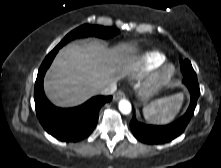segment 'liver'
Instances as JSON below:
<instances>
[{"instance_id":"6515ba94","label":"liver","mask_w":221,"mask_h":168,"mask_svg":"<svg viewBox=\"0 0 221 168\" xmlns=\"http://www.w3.org/2000/svg\"><path fill=\"white\" fill-rule=\"evenodd\" d=\"M133 47L106 48L98 42L70 44L54 59L44 80L48 98L57 106H76L113 82L135 65Z\"/></svg>"}]
</instances>
